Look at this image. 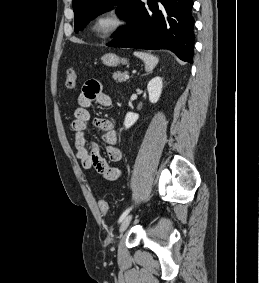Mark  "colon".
Masks as SVG:
<instances>
[{
    "mask_svg": "<svg viewBox=\"0 0 259 283\" xmlns=\"http://www.w3.org/2000/svg\"><path fill=\"white\" fill-rule=\"evenodd\" d=\"M77 85V75L74 69L70 68L65 74V86L68 90H73ZM101 213L106 214L108 212V203L106 200H100L98 203Z\"/></svg>",
    "mask_w": 259,
    "mask_h": 283,
    "instance_id": "obj_1",
    "label": "colon"
}]
</instances>
